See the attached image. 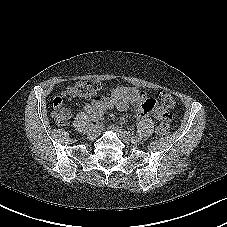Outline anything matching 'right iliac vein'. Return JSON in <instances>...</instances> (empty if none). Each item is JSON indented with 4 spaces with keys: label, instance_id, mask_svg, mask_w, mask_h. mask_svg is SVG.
I'll list each match as a JSON object with an SVG mask.
<instances>
[{
    "label": "right iliac vein",
    "instance_id": "63e3f726",
    "mask_svg": "<svg viewBox=\"0 0 227 227\" xmlns=\"http://www.w3.org/2000/svg\"><path fill=\"white\" fill-rule=\"evenodd\" d=\"M98 132H99L98 127H95V126L92 125V126L89 127V131H88L87 137L89 139H94V138L97 137Z\"/></svg>",
    "mask_w": 227,
    "mask_h": 227
}]
</instances>
